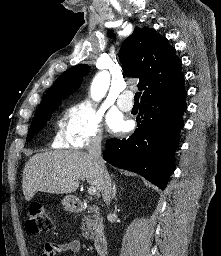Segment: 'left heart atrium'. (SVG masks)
<instances>
[{
    "label": "left heart atrium",
    "instance_id": "obj_1",
    "mask_svg": "<svg viewBox=\"0 0 221 256\" xmlns=\"http://www.w3.org/2000/svg\"><path fill=\"white\" fill-rule=\"evenodd\" d=\"M107 124L109 128L114 132L123 130L125 128V122L123 118L116 113H110L108 115Z\"/></svg>",
    "mask_w": 221,
    "mask_h": 256
}]
</instances>
